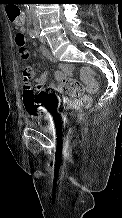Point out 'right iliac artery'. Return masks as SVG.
I'll return each instance as SVG.
<instances>
[{
    "label": "right iliac artery",
    "instance_id": "obj_1",
    "mask_svg": "<svg viewBox=\"0 0 122 218\" xmlns=\"http://www.w3.org/2000/svg\"><path fill=\"white\" fill-rule=\"evenodd\" d=\"M30 37L31 38H36L37 37V32L35 30L30 31Z\"/></svg>",
    "mask_w": 122,
    "mask_h": 218
}]
</instances>
